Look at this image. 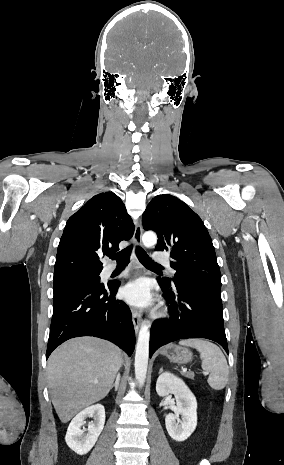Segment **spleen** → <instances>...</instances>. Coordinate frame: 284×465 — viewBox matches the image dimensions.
I'll return each mask as SVG.
<instances>
[{
    "instance_id": "spleen-1",
    "label": "spleen",
    "mask_w": 284,
    "mask_h": 465,
    "mask_svg": "<svg viewBox=\"0 0 284 465\" xmlns=\"http://www.w3.org/2000/svg\"><path fill=\"white\" fill-rule=\"evenodd\" d=\"M179 345H185V347H193L200 353V359H202L203 371L210 373L208 377V385L215 389V391H221L227 385L229 369L227 361L219 347L209 343L207 339H187V341H180Z\"/></svg>"
}]
</instances>
